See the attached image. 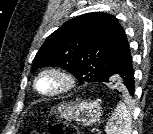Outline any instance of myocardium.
<instances>
[{
	"label": "myocardium",
	"instance_id": "obj_1",
	"mask_svg": "<svg viewBox=\"0 0 153 134\" xmlns=\"http://www.w3.org/2000/svg\"><path fill=\"white\" fill-rule=\"evenodd\" d=\"M44 75L56 76L61 81L60 86L57 89L50 92L41 91L38 87V82L40 78L43 77ZM75 85H76V79L74 75L68 70L58 66H50L42 69L36 75L33 82V87L35 91L45 97H55L67 93L70 90H72L75 87Z\"/></svg>",
	"mask_w": 153,
	"mask_h": 134
}]
</instances>
